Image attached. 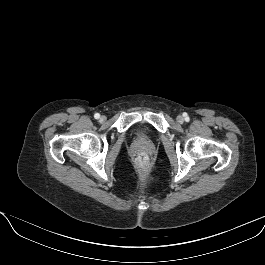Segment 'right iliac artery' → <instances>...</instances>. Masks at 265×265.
Listing matches in <instances>:
<instances>
[{
    "mask_svg": "<svg viewBox=\"0 0 265 265\" xmlns=\"http://www.w3.org/2000/svg\"><path fill=\"white\" fill-rule=\"evenodd\" d=\"M94 117H95V119H99V118H100V114H99V113H96V114L94 115Z\"/></svg>",
    "mask_w": 265,
    "mask_h": 265,
    "instance_id": "82829eb1",
    "label": "right iliac artery"
}]
</instances>
